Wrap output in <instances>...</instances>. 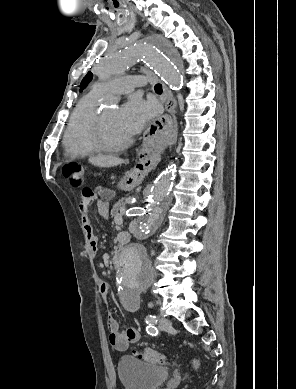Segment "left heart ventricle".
<instances>
[{
	"mask_svg": "<svg viewBox=\"0 0 296 389\" xmlns=\"http://www.w3.org/2000/svg\"><path fill=\"white\" fill-rule=\"evenodd\" d=\"M104 119L105 136L112 144L121 143L129 138L122 130L118 121V110L112 109L102 113Z\"/></svg>",
	"mask_w": 296,
	"mask_h": 389,
	"instance_id": "obj_1",
	"label": "left heart ventricle"
}]
</instances>
